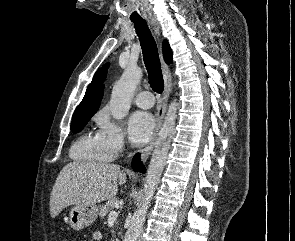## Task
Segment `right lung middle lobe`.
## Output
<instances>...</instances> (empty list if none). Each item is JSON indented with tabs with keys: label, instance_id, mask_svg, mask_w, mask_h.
Instances as JSON below:
<instances>
[{
	"label": "right lung middle lobe",
	"instance_id": "obj_1",
	"mask_svg": "<svg viewBox=\"0 0 295 241\" xmlns=\"http://www.w3.org/2000/svg\"><path fill=\"white\" fill-rule=\"evenodd\" d=\"M95 112L80 113L73 115L71 130L72 132H80Z\"/></svg>",
	"mask_w": 295,
	"mask_h": 241
}]
</instances>
